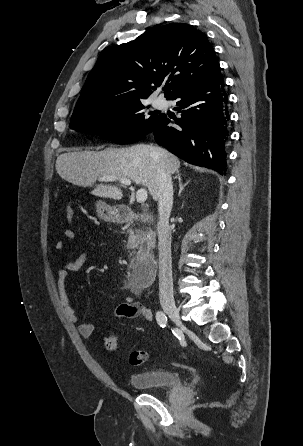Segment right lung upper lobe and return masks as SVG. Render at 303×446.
<instances>
[{
	"mask_svg": "<svg viewBox=\"0 0 303 446\" xmlns=\"http://www.w3.org/2000/svg\"><path fill=\"white\" fill-rule=\"evenodd\" d=\"M221 77L206 35L172 23L125 44L106 47L89 73L72 116L146 99L166 81L165 97Z\"/></svg>",
	"mask_w": 303,
	"mask_h": 446,
	"instance_id": "right-lung-upper-lobe-1",
	"label": "right lung upper lobe"
}]
</instances>
